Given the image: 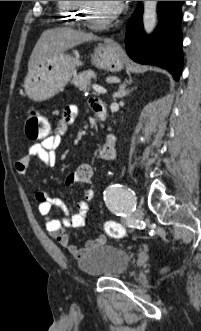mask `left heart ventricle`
I'll return each instance as SVG.
<instances>
[{
	"label": "left heart ventricle",
	"mask_w": 201,
	"mask_h": 331,
	"mask_svg": "<svg viewBox=\"0 0 201 331\" xmlns=\"http://www.w3.org/2000/svg\"><path fill=\"white\" fill-rule=\"evenodd\" d=\"M87 17L93 22H99L110 15L118 6L116 1H88Z\"/></svg>",
	"instance_id": "obj_1"
}]
</instances>
